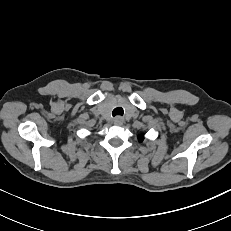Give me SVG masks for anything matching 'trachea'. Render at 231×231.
I'll list each match as a JSON object with an SVG mask.
<instances>
[{
  "label": "trachea",
  "mask_w": 231,
  "mask_h": 231,
  "mask_svg": "<svg viewBox=\"0 0 231 231\" xmlns=\"http://www.w3.org/2000/svg\"><path fill=\"white\" fill-rule=\"evenodd\" d=\"M123 113H124L123 108L117 107V108H115V109L113 110L112 115H113V116H117V115L122 116Z\"/></svg>",
  "instance_id": "1"
}]
</instances>
